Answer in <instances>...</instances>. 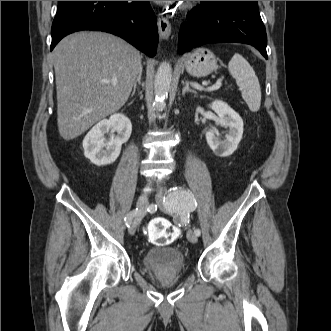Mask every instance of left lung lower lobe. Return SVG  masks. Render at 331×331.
Listing matches in <instances>:
<instances>
[{
    "mask_svg": "<svg viewBox=\"0 0 331 331\" xmlns=\"http://www.w3.org/2000/svg\"><path fill=\"white\" fill-rule=\"evenodd\" d=\"M238 42L267 59V37L257 1H203L187 14L179 35L183 53L206 43Z\"/></svg>",
    "mask_w": 331,
    "mask_h": 331,
    "instance_id": "1",
    "label": "left lung lower lobe"
}]
</instances>
